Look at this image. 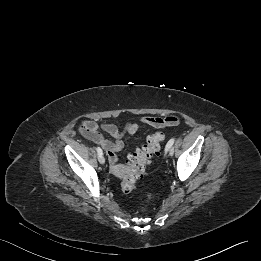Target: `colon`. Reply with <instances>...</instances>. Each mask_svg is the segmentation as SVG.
I'll return each mask as SVG.
<instances>
[{
	"label": "colon",
	"instance_id": "1",
	"mask_svg": "<svg viewBox=\"0 0 261 261\" xmlns=\"http://www.w3.org/2000/svg\"><path fill=\"white\" fill-rule=\"evenodd\" d=\"M165 137L166 135L163 131H157L149 135L146 144L134 153L127 167V173L121 180V190L123 193L131 194L136 190L138 178L146 173L151 158L158 155ZM113 171L120 173L122 169L115 167Z\"/></svg>",
	"mask_w": 261,
	"mask_h": 261
}]
</instances>
